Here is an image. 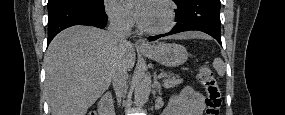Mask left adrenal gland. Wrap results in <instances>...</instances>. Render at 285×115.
<instances>
[{"instance_id": "1", "label": "left adrenal gland", "mask_w": 285, "mask_h": 115, "mask_svg": "<svg viewBox=\"0 0 285 115\" xmlns=\"http://www.w3.org/2000/svg\"><path fill=\"white\" fill-rule=\"evenodd\" d=\"M154 86H155V88H156L158 94L161 95V89H162V88H161V84L158 82L156 76H155V78H154Z\"/></svg>"}]
</instances>
